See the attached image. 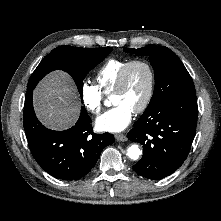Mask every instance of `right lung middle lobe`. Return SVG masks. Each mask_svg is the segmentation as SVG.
Listing matches in <instances>:
<instances>
[{"label": "right lung middle lobe", "mask_w": 221, "mask_h": 221, "mask_svg": "<svg viewBox=\"0 0 221 221\" xmlns=\"http://www.w3.org/2000/svg\"><path fill=\"white\" fill-rule=\"evenodd\" d=\"M112 47L80 48L60 46L53 49L37 66L28 83L27 89H34L37 83L53 70H63L74 79L82 98L83 80L97 64L105 59Z\"/></svg>", "instance_id": "right-lung-middle-lobe-1"}]
</instances>
